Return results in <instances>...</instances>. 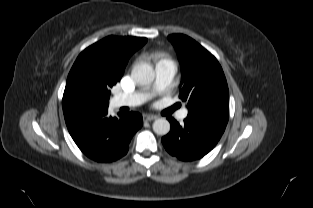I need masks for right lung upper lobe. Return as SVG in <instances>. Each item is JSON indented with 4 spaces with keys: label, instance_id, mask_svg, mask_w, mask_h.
Returning a JSON list of instances; mask_svg holds the SVG:
<instances>
[{
    "label": "right lung upper lobe",
    "instance_id": "obj_1",
    "mask_svg": "<svg viewBox=\"0 0 313 208\" xmlns=\"http://www.w3.org/2000/svg\"><path fill=\"white\" fill-rule=\"evenodd\" d=\"M146 42V38L108 36L82 51L67 77L63 107L100 106L105 101L103 88L120 81L130 56Z\"/></svg>",
    "mask_w": 313,
    "mask_h": 208
}]
</instances>
